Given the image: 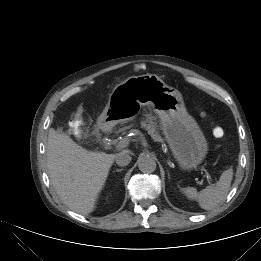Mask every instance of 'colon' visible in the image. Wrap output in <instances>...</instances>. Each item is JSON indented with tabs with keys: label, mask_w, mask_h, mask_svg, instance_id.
Segmentation results:
<instances>
[{
	"label": "colon",
	"mask_w": 261,
	"mask_h": 261,
	"mask_svg": "<svg viewBox=\"0 0 261 261\" xmlns=\"http://www.w3.org/2000/svg\"><path fill=\"white\" fill-rule=\"evenodd\" d=\"M223 134H224V132H223V129H222V128H220V127H214V129H213V135H214L215 137H222Z\"/></svg>",
	"instance_id": "obj_1"
}]
</instances>
